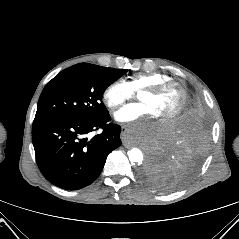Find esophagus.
<instances>
[{"instance_id":"34e87169","label":"esophagus","mask_w":239,"mask_h":239,"mask_svg":"<svg viewBox=\"0 0 239 239\" xmlns=\"http://www.w3.org/2000/svg\"><path fill=\"white\" fill-rule=\"evenodd\" d=\"M127 132V128L126 126H122V130H121V138L123 139V144L124 146H126L127 148L130 147L131 145L125 140V134Z\"/></svg>"}]
</instances>
